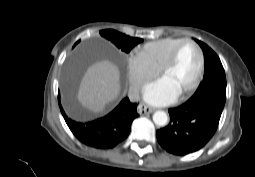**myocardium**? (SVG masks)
Returning a JSON list of instances; mask_svg holds the SVG:
<instances>
[{"mask_svg": "<svg viewBox=\"0 0 255 177\" xmlns=\"http://www.w3.org/2000/svg\"><path fill=\"white\" fill-rule=\"evenodd\" d=\"M186 44H191L197 49V51L199 53L200 63H199V69H198V72H197L194 82L187 89H185L184 91L179 93L180 98H184V97L190 95L191 93H193L198 88V86L200 85V83L202 81L204 69H205V57H204L203 50L199 46V44L191 39H184L182 42H180L173 49L169 58L166 60V62L161 67L160 73H159L160 76L162 77L168 70H170L174 66L180 49Z\"/></svg>", "mask_w": 255, "mask_h": 177, "instance_id": "obj_1", "label": "myocardium"}]
</instances>
